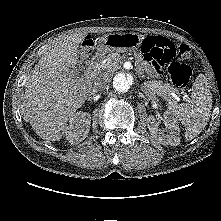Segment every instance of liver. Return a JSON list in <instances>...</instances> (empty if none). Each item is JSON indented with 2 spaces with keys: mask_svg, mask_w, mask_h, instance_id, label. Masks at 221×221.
<instances>
[{
  "mask_svg": "<svg viewBox=\"0 0 221 221\" xmlns=\"http://www.w3.org/2000/svg\"><path fill=\"white\" fill-rule=\"evenodd\" d=\"M86 32L53 40L25 83L21 113L43 139L59 140L66 124L91 93L92 82L79 75V44Z\"/></svg>",
  "mask_w": 221,
  "mask_h": 221,
  "instance_id": "obj_1",
  "label": "liver"
}]
</instances>
